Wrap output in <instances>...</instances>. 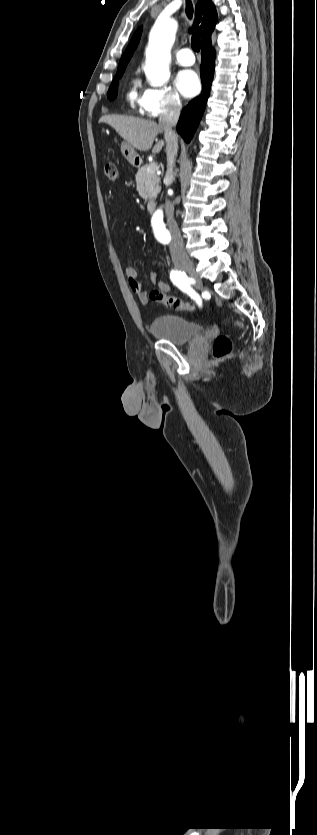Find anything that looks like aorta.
Here are the masks:
<instances>
[{"label": "aorta", "instance_id": "obj_1", "mask_svg": "<svg viewBox=\"0 0 317 835\" xmlns=\"http://www.w3.org/2000/svg\"><path fill=\"white\" fill-rule=\"evenodd\" d=\"M177 21L175 18H158L150 31L146 48L144 72L151 86L161 87L170 78L169 63L171 48L175 41ZM155 232L158 237L165 235L162 212L158 210L153 216Z\"/></svg>", "mask_w": 317, "mask_h": 835}]
</instances>
